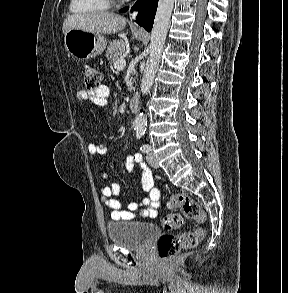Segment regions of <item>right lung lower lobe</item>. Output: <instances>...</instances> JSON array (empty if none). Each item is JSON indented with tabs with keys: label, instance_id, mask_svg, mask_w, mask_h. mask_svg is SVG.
<instances>
[{
	"label": "right lung lower lobe",
	"instance_id": "98d812e1",
	"mask_svg": "<svg viewBox=\"0 0 288 293\" xmlns=\"http://www.w3.org/2000/svg\"><path fill=\"white\" fill-rule=\"evenodd\" d=\"M158 0H138L132 10H139L137 23L143 26L148 32L151 31Z\"/></svg>",
	"mask_w": 288,
	"mask_h": 293
}]
</instances>
